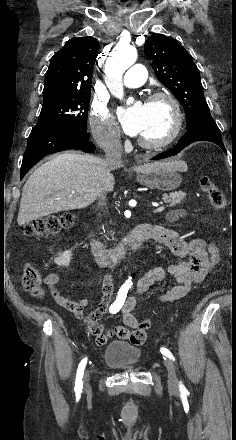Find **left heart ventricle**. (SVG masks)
<instances>
[{
    "label": "left heart ventricle",
    "instance_id": "1",
    "mask_svg": "<svg viewBox=\"0 0 236 440\" xmlns=\"http://www.w3.org/2000/svg\"><path fill=\"white\" fill-rule=\"evenodd\" d=\"M146 107L147 119L139 136L148 141H159L171 130L173 124L171 108L164 100L147 103Z\"/></svg>",
    "mask_w": 236,
    "mask_h": 440
}]
</instances>
